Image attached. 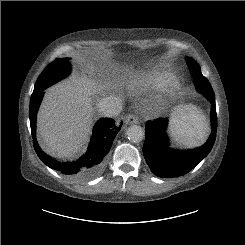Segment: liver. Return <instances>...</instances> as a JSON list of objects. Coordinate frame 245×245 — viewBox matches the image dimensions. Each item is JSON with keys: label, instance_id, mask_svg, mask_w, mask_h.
<instances>
[{"label": "liver", "instance_id": "liver-1", "mask_svg": "<svg viewBox=\"0 0 245 245\" xmlns=\"http://www.w3.org/2000/svg\"><path fill=\"white\" fill-rule=\"evenodd\" d=\"M138 84L134 81L131 86ZM113 88L110 81L100 83L86 75L50 87L37 116L38 135L45 152L58 158L74 156L91 130L92 98Z\"/></svg>", "mask_w": 245, "mask_h": 245}]
</instances>
